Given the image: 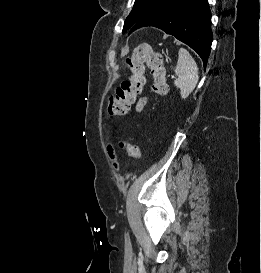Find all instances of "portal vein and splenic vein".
<instances>
[{
  "label": "portal vein and splenic vein",
  "mask_w": 261,
  "mask_h": 273,
  "mask_svg": "<svg viewBox=\"0 0 261 273\" xmlns=\"http://www.w3.org/2000/svg\"><path fill=\"white\" fill-rule=\"evenodd\" d=\"M171 79H175V76L172 75V76H171Z\"/></svg>",
  "instance_id": "1"
}]
</instances>
